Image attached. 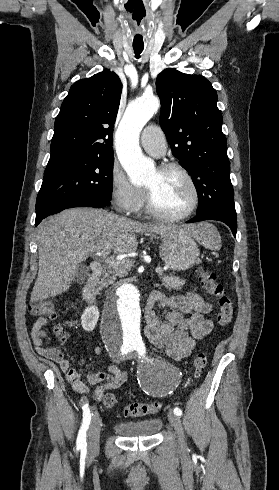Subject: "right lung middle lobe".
<instances>
[{
    "label": "right lung middle lobe",
    "instance_id": "obj_1",
    "mask_svg": "<svg viewBox=\"0 0 279 490\" xmlns=\"http://www.w3.org/2000/svg\"><path fill=\"white\" fill-rule=\"evenodd\" d=\"M113 151L48 163L36 200V213L55 199L86 196L110 205Z\"/></svg>",
    "mask_w": 279,
    "mask_h": 490
}]
</instances>
